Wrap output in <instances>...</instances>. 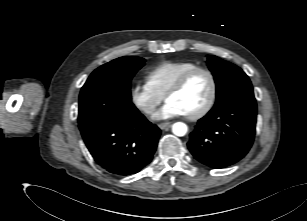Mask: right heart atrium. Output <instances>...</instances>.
<instances>
[{
	"label": "right heart atrium",
	"instance_id": "d8ad5b80",
	"mask_svg": "<svg viewBox=\"0 0 307 221\" xmlns=\"http://www.w3.org/2000/svg\"><path fill=\"white\" fill-rule=\"evenodd\" d=\"M129 95L133 106L146 116H152L163 100L162 96L143 83L133 85Z\"/></svg>",
	"mask_w": 307,
	"mask_h": 221
}]
</instances>
